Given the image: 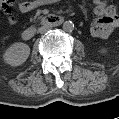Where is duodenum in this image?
I'll return each mask as SVG.
<instances>
[{"label": "duodenum", "instance_id": "obj_1", "mask_svg": "<svg viewBox=\"0 0 119 119\" xmlns=\"http://www.w3.org/2000/svg\"><path fill=\"white\" fill-rule=\"evenodd\" d=\"M64 21V17L60 15H49L43 17L38 25H32L25 30H23L21 36L24 40H30L33 38L37 32L38 27H56L62 24Z\"/></svg>", "mask_w": 119, "mask_h": 119}]
</instances>
